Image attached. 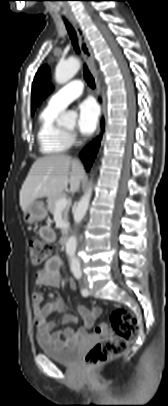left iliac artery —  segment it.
Returning a JSON list of instances; mask_svg holds the SVG:
<instances>
[{
	"label": "left iliac artery",
	"instance_id": "1",
	"mask_svg": "<svg viewBox=\"0 0 168 406\" xmlns=\"http://www.w3.org/2000/svg\"><path fill=\"white\" fill-rule=\"evenodd\" d=\"M73 274H74L75 278L78 279V280H80L81 277H82V272H81L80 269L74 270V271H73ZM81 294H82L83 296H88V295H89V292H88L87 289L83 288V289L81 290Z\"/></svg>",
	"mask_w": 168,
	"mask_h": 406
}]
</instances>
